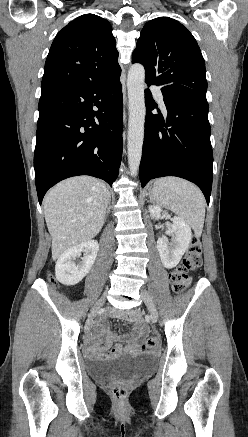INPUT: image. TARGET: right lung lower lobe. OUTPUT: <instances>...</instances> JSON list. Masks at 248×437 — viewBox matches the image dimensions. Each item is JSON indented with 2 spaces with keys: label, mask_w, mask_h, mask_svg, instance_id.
<instances>
[{
  "label": "right lung lower lobe",
  "mask_w": 248,
  "mask_h": 437,
  "mask_svg": "<svg viewBox=\"0 0 248 437\" xmlns=\"http://www.w3.org/2000/svg\"><path fill=\"white\" fill-rule=\"evenodd\" d=\"M122 114L120 73L96 84L41 90L34 153L40 204L68 177L90 175L112 186L121 162Z\"/></svg>",
  "instance_id": "right-lung-lower-lobe-1"
}]
</instances>
